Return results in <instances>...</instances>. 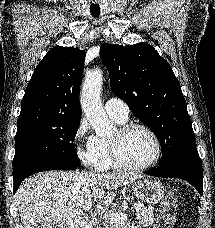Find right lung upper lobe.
I'll list each match as a JSON object with an SVG mask.
<instances>
[{
	"label": "right lung upper lobe",
	"instance_id": "1",
	"mask_svg": "<svg viewBox=\"0 0 215 228\" xmlns=\"http://www.w3.org/2000/svg\"><path fill=\"white\" fill-rule=\"evenodd\" d=\"M85 51L51 49L36 67L25 90L17 127L60 120H80L79 89Z\"/></svg>",
	"mask_w": 215,
	"mask_h": 228
}]
</instances>
